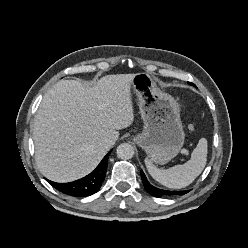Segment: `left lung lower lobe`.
<instances>
[{"label": "left lung lower lobe", "mask_w": 248, "mask_h": 248, "mask_svg": "<svg viewBox=\"0 0 248 248\" xmlns=\"http://www.w3.org/2000/svg\"><path fill=\"white\" fill-rule=\"evenodd\" d=\"M140 174H141V179H142L145 190L149 194L153 195L154 197L160 198L162 196L184 195L185 193L189 192L188 190L187 191H168V190L158 189V188L152 186L148 182V180H147V178H146V176L142 170L140 171Z\"/></svg>", "instance_id": "0a47b994"}]
</instances>
